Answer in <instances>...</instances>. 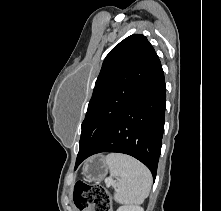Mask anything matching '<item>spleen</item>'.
<instances>
[{"label":"spleen","mask_w":221,"mask_h":211,"mask_svg":"<svg viewBox=\"0 0 221 211\" xmlns=\"http://www.w3.org/2000/svg\"><path fill=\"white\" fill-rule=\"evenodd\" d=\"M118 187L114 199L120 204H141L148 197L152 175L138 160L125 154H108L104 159Z\"/></svg>","instance_id":"obj_1"}]
</instances>
